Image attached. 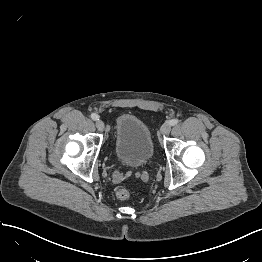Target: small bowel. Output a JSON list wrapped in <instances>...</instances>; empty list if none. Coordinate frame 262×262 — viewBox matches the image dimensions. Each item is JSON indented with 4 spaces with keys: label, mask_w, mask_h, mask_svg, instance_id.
<instances>
[{
    "label": "small bowel",
    "mask_w": 262,
    "mask_h": 262,
    "mask_svg": "<svg viewBox=\"0 0 262 262\" xmlns=\"http://www.w3.org/2000/svg\"><path fill=\"white\" fill-rule=\"evenodd\" d=\"M114 182L117 183L119 182V180L117 178H114Z\"/></svg>",
    "instance_id": "c3829d8e"
}]
</instances>
